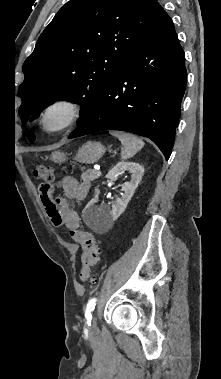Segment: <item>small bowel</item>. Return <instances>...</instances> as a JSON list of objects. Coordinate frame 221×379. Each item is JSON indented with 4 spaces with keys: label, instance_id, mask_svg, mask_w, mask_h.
Instances as JSON below:
<instances>
[{
    "label": "small bowel",
    "instance_id": "small-bowel-1",
    "mask_svg": "<svg viewBox=\"0 0 221 379\" xmlns=\"http://www.w3.org/2000/svg\"><path fill=\"white\" fill-rule=\"evenodd\" d=\"M62 189L66 198L55 199L52 197V190L47 194H40L41 200L52 223L57 226H66L68 229H78L80 218L78 213L69 205L67 199L74 201L83 200L89 191L90 184L87 181L80 182L75 177L66 176L62 179ZM56 195V192H53Z\"/></svg>",
    "mask_w": 221,
    "mask_h": 379
}]
</instances>
